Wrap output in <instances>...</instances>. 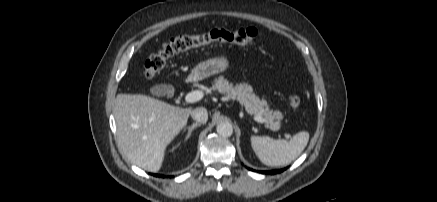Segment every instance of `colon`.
Here are the masks:
<instances>
[{
    "mask_svg": "<svg viewBox=\"0 0 437 202\" xmlns=\"http://www.w3.org/2000/svg\"><path fill=\"white\" fill-rule=\"evenodd\" d=\"M258 37L259 32L254 28L239 30L216 28L197 35L178 36L165 42L157 52L145 60L144 74L147 78L155 77L164 69L169 58L192 48L212 43L246 45L254 42ZM288 102L296 109L301 105V98L297 94H291Z\"/></svg>",
    "mask_w": 437,
    "mask_h": 202,
    "instance_id": "colon-1",
    "label": "colon"
}]
</instances>
